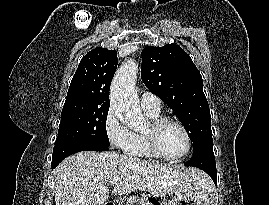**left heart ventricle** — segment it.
<instances>
[{
  "mask_svg": "<svg viewBox=\"0 0 269 205\" xmlns=\"http://www.w3.org/2000/svg\"><path fill=\"white\" fill-rule=\"evenodd\" d=\"M159 145L164 154L175 157L186 151L187 140L179 127L167 124L160 131Z\"/></svg>",
  "mask_w": 269,
  "mask_h": 205,
  "instance_id": "obj_1",
  "label": "left heart ventricle"
}]
</instances>
